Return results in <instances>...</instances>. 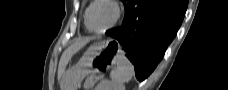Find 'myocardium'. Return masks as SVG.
Listing matches in <instances>:
<instances>
[{"instance_id":"1","label":"myocardium","mask_w":228,"mask_h":90,"mask_svg":"<svg viewBox=\"0 0 228 90\" xmlns=\"http://www.w3.org/2000/svg\"><path fill=\"white\" fill-rule=\"evenodd\" d=\"M98 3H106V4L110 5V6H112L113 9H114V13H115L114 14V18L112 19L110 24L107 25L105 28H103L101 30H95L90 25V11ZM121 15H122V11H121V8H120V6H119L117 1H114V0H95L89 5V7L86 10V13H85V25H86L87 29L90 32L101 34V33H104L106 31H108L109 29L113 28L118 23V21L120 20Z\"/></svg>"}]
</instances>
